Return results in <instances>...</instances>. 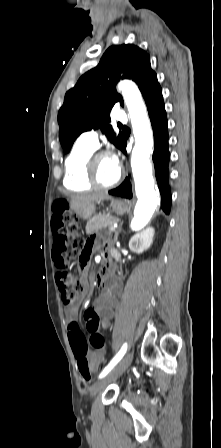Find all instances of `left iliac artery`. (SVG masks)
Listing matches in <instances>:
<instances>
[{
  "label": "left iliac artery",
  "mask_w": 221,
  "mask_h": 448,
  "mask_svg": "<svg viewBox=\"0 0 221 448\" xmlns=\"http://www.w3.org/2000/svg\"><path fill=\"white\" fill-rule=\"evenodd\" d=\"M126 350H127V343H124L120 351L116 354V356L111 360L108 366L99 375V378H103L113 369V367L122 359V357L126 353Z\"/></svg>",
  "instance_id": "44dca946"
}]
</instances>
